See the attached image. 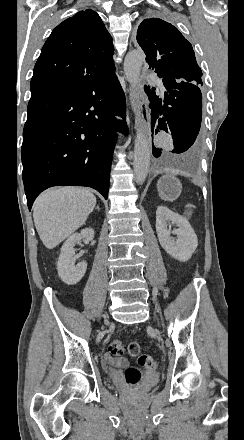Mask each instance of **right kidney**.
<instances>
[{"label": "right kidney", "instance_id": "1", "mask_svg": "<svg viewBox=\"0 0 244 440\" xmlns=\"http://www.w3.org/2000/svg\"><path fill=\"white\" fill-rule=\"evenodd\" d=\"M81 240H94V230H92V228H85L81 234H72V236L64 242L61 248V254L58 258V276H60L62 282L68 284V286H73V284L80 282L87 270L86 262H80L77 266H74L71 262V258L75 254L74 246L80 244Z\"/></svg>", "mask_w": 244, "mask_h": 440}]
</instances>
